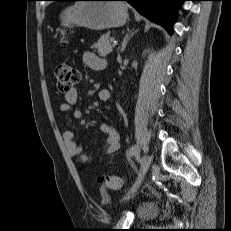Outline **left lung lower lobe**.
Listing matches in <instances>:
<instances>
[{"label":"left lung lower lobe","instance_id":"0a47b994","mask_svg":"<svg viewBox=\"0 0 231 231\" xmlns=\"http://www.w3.org/2000/svg\"><path fill=\"white\" fill-rule=\"evenodd\" d=\"M58 1H76V0H58ZM121 1L128 2L140 14L162 25L169 33H172L174 15L176 13L177 8L185 0H121Z\"/></svg>","mask_w":231,"mask_h":231}]
</instances>
